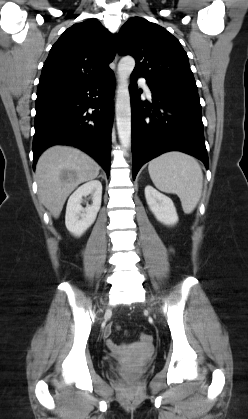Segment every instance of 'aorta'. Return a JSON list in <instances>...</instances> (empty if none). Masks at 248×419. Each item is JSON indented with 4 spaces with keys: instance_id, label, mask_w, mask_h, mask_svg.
Listing matches in <instances>:
<instances>
[{
    "instance_id": "aorta-1",
    "label": "aorta",
    "mask_w": 248,
    "mask_h": 419,
    "mask_svg": "<svg viewBox=\"0 0 248 419\" xmlns=\"http://www.w3.org/2000/svg\"><path fill=\"white\" fill-rule=\"evenodd\" d=\"M135 67L131 56L123 57L118 63V89L116 96V124L120 143L124 149L131 143V104L128 79Z\"/></svg>"
}]
</instances>
